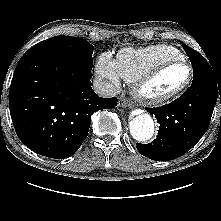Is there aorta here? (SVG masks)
Instances as JSON below:
<instances>
[{
  "label": "aorta",
  "mask_w": 221,
  "mask_h": 221,
  "mask_svg": "<svg viewBox=\"0 0 221 221\" xmlns=\"http://www.w3.org/2000/svg\"><path fill=\"white\" fill-rule=\"evenodd\" d=\"M129 129L135 140L145 142L151 139L154 134L153 119L148 113L137 115L130 120Z\"/></svg>",
  "instance_id": "obj_1"
}]
</instances>
